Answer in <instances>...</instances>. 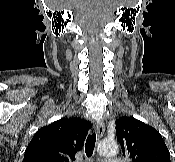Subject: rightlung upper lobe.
<instances>
[{
	"label": "right lung upper lobe",
	"mask_w": 175,
	"mask_h": 162,
	"mask_svg": "<svg viewBox=\"0 0 175 162\" xmlns=\"http://www.w3.org/2000/svg\"><path fill=\"white\" fill-rule=\"evenodd\" d=\"M91 124L62 118L39 129L27 146L23 162H69L82 148Z\"/></svg>",
	"instance_id": "1"
}]
</instances>
